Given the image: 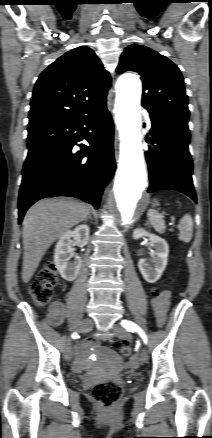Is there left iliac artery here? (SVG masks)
Listing matches in <instances>:
<instances>
[{"label": "left iliac artery", "instance_id": "obj_1", "mask_svg": "<svg viewBox=\"0 0 212 438\" xmlns=\"http://www.w3.org/2000/svg\"><path fill=\"white\" fill-rule=\"evenodd\" d=\"M121 325L129 332H137L145 344L148 343V338L143 329L132 321L122 320Z\"/></svg>", "mask_w": 212, "mask_h": 438}]
</instances>
